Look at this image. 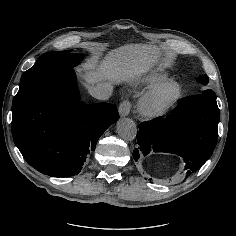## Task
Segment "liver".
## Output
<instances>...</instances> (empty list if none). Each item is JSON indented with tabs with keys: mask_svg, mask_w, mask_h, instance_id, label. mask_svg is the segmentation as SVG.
<instances>
[{
	"mask_svg": "<svg viewBox=\"0 0 236 236\" xmlns=\"http://www.w3.org/2000/svg\"><path fill=\"white\" fill-rule=\"evenodd\" d=\"M159 55L156 47L147 44H129L111 50L98 65L95 58L88 60L83 68L85 86L90 90L94 84L108 81L119 84L148 71Z\"/></svg>",
	"mask_w": 236,
	"mask_h": 236,
	"instance_id": "liver-1",
	"label": "liver"
}]
</instances>
